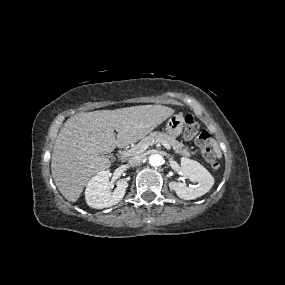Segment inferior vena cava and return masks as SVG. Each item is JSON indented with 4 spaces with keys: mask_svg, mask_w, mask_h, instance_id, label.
<instances>
[{
    "mask_svg": "<svg viewBox=\"0 0 285 285\" xmlns=\"http://www.w3.org/2000/svg\"><path fill=\"white\" fill-rule=\"evenodd\" d=\"M141 162H142V157L141 156H134V157H131L128 160L129 165L132 166V167L140 165Z\"/></svg>",
    "mask_w": 285,
    "mask_h": 285,
    "instance_id": "602c4592",
    "label": "inferior vena cava"
}]
</instances>
